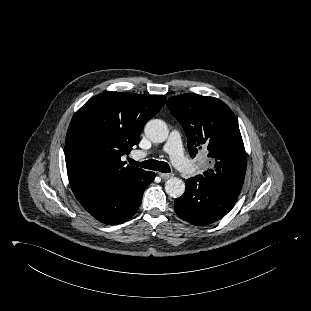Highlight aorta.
<instances>
[{
  "instance_id": "762f6f07",
  "label": "aorta",
  "mask_w": 311,
  "mask_h": 311,
  "mask_svg": "<svg viewBox=\"0 0 311 311\" xmlns=\"http://www.w3.org/2000/svg\"><path fill=\"white\" fill-rule=\"evenodd\" d=\"M147 138L154 143H162L168 137L167 124L160 119H152L148 121L144 128ZM166 193L173 198H179L185 191V184L180 178H170L165 183Z\"/></svg>"
}]
</instances>
